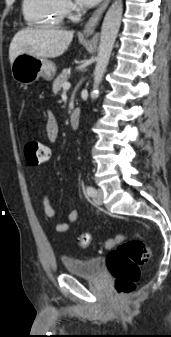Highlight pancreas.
Segmentation results:
<instances>
[{
  "label": "pancreas",
  "mask_w": 171,
  "mask_h": 337,
  "mask_svg": "<svg viewBox=\"0 0 171 337\" xmlns=\"http://www.w3.org/2000/svg\"><path fill=\"white\" fill-rule=\"evenodd\" d=\"M69 78V71L64 69L62 73L54 80L53 82V93L58 94L65 82H67Z\"/></svg>",
  "instance_id": "pancreas-1"
}]
</instances>
